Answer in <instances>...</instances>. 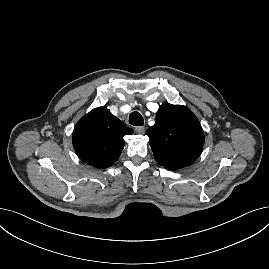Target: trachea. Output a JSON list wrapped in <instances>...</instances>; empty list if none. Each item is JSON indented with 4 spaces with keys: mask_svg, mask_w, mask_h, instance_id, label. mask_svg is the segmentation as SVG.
<instances>
[{
    "mask_svg": "<svg viewBox=\"0 0 269 269\" xmlns=\"http://www.w3.org/2000/svg\"><path fill=\"white\" fill-rule=\"evenodd\" d=\"M129 123L134 126H142L144 124V120L141 114L135 111L130 114Z\"/></svg>",
    "mask_w": 269,
    "mask_h": 269,
    "instance_id": "obj_1",
    "label": "trachea"
}]
</instances>
